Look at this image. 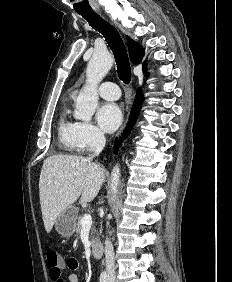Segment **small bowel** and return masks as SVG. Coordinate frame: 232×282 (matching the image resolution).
Masks as SVG:
<instances>
[{
	"label": "small bowel",
	"instance_id": "1",
	"mask_svg": "<svg viewBox=\"0 0 232 282\" xmlns=\"http://www.w3.org/2000/svg\"><path fill=\"white\" fill-rule=\"evenodd\" d=\"M62 268H68L72 271H76L80 268V263L76 258L70 257V258L67 259V261L65 263H62L61 269ZM50 279L53 282H64V280L61 276V273L57 276H54L50 273ZM68 280H69V282H79L80 278H79V275L77 273H71L68 276Z\"/></svg>",
	"mask_w": 232,
	"mask_h": 282
}]
</instances>
